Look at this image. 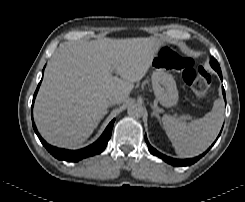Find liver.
Segmentation results:
<instances>
[{"mask_svg": "<svg viewBox=\"0 0 245 202\" xmlns=\"http://www.w3.org/2000/svg\"><path fill=\"white\" fill-rule=\"evenodd\" d=\"M159 47L152 37L62 44L46 68L34 105L44 139L64 148L85 142L107 112V96L118 94L119 103L125 101Z\"/></svg>", "mask_w": 245, "mask_h": 202, "instance_id": "liver-1", "label": "liver"}]
</instances>
